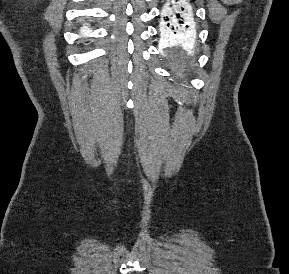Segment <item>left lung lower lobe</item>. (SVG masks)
<instances>
[{
	"label": "left lung lower lobe",
	"instance_id": "left-lung-lower-lobe-1",
	"mask_svg": "<svg viewBox=\"0 0 289 274\" xmlns=\"http://www.w3.org/2000/svg\"><path fill=\"white\" fill-rule=\"evenodd\" d=\"M162 37L168 41L186 39L193 35L191 11L181 0H172L165 9Z\"/></svg>",
	"mask_w": 289,
	"mask_h": 274
}]
</instances>
